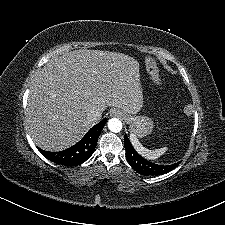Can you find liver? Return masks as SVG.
<instances>
[{"instance_id": "6515ba94", "label": "liver", "mask_w": 225, "mask_h": 225, "mask_svg": "<svg viewBox=\"0 0 225 225\" xmlns=\"http://www.w3.org/2000/svg\"><path fill=\"white\" fill-rule=\"evenodd\" d=\"M136 114L143 106L139 63L123 53L75 50L55 56L35 74L25 112L26 127L43 150L74 145L101 117L92 107Z\"/></svg>"}]
</instances>
